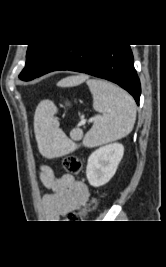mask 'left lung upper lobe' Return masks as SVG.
<instances>
[{
	"instance_id": "1",
	"label": "left lung upper lobe",
	"mask_w": 166,
	"mask_h": 267,
	"mask_svg": "<svg viewBox=\"0 0 166 267\" xmlns=\"http://www.w3.org/2000/svg\"><path fill=\"white\" fill-rule=\"evenodd\" d=\"M60 45H29L25 68L19 75L23 81L36 78L37 74Z\"/></svg>"
}]
</instances>
